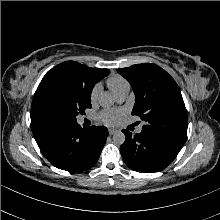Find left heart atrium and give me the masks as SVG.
<instances>
[{
    "label": "left heart atrium",
    "mask_w": 220,
    "mask_h": 220,
    "mask_svg": "<svg viewBox=\"0 0 220 220\" xmlns=\"http://www.w3.org/2000/svg\"><path fill=\"white\" fill-rule=\"evenodd\" d=\"M99 118L107 125H115L120 121L121 112L116 110H105L100 113Z\"/></svg>",
    "instance_id": "left-heart-atrium-1"
}]
</instances>
